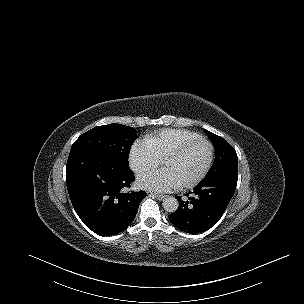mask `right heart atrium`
Returning <instances> with one entry per match:
<instances>
[{
    "label": "right heart atrium",
    "mask_w": 304,
    "mask_h": 304,
    "mask_svg": "<svg viewBox=\"0 0 304 304\" xmlns=\"http://www.w3.org/2000/svg\"><path fill=\"white\" fill-rule=\"evenodd\" d=\"M131 159L134 167H151L157 161V152L149 142H139L132 150Z\"/></svg>",
    "instance_id": "obj_1"
}]
</instances>
